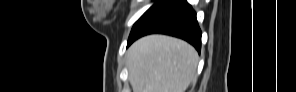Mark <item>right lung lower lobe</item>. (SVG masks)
Returning a JSON list of instances; mask_svg holds the SVG:
<instances>
[{"instance_id":"1","label":"right lung lower lobe","mask_w":296,"mask_h":92,"mask_svg":"<svg viewBox=\"0 0 296 92\" xmlns=\"http://www.w3.org/2000/svg\"><path fill=\"white\" fill-rule=\"evenodd\" d=\"M163 33L182 38L201 49V30L196 13L186 0H158L134 24L128 39L129 46L141 36Z\"/></svg>"}]
</instances>
